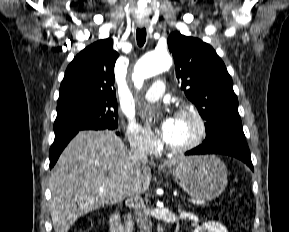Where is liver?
Listing matches in <instances>:
<instances>
[{"mask_svg":"<svg viewBox=\"0 0 289 232\" xmlns=\"http://www.w3.org/2000/svg\"><path fill=\"white\" fill-rule=\"evenodd\" d=\"M177 162L171 159L163 166L171 167ZM150 182V168L146 163H133L115 133L79 132L60 155L49 179V207L55 232H68L86 213L144 193Z\"/></svg>","mask_w":289,"mask_h":232,"instance_id":"liver-1","label":"liver"}]
</instances>
